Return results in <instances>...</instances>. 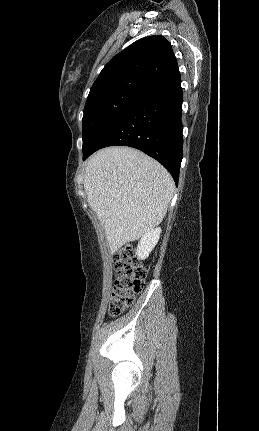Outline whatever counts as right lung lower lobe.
I'll return each instance as SVG.
<instances>
[{
    "label": "right lung lower lobe",
    "instance_id": "1",
    "mask_svg": "<svg viewBox=\"0 0 259 431\" xmlns=\"http://www.w3.org/2000/svg\"><path fill=\"white\" fill-rule=\"evenodd\" d=\"M182 88L180 77L150 88L97 138L95 151L113 145L137 148L159 161L178 183L183 157Z\"/></svg>",
    "mask_w": 259,
    "mask_h": 431
}]
</instances>
